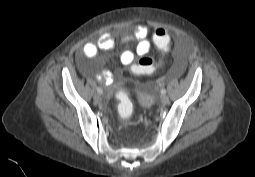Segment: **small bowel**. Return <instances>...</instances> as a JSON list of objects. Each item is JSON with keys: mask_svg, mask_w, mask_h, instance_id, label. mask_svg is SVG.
I'll return each mask as SVG.
<instances>
[{"mask_svg": "<svg viewBox=\"0 0 255 177\" xmlns=\"http://www.w3.org/2000/svg\"><path fill=\"white\" fill-rule=\"evenodd\" d=\"M136 43V53L140 56L146 55L151 49V41L149 39V29L145 25H138L130 34L122 35L119 38L114 37L109 32L101 34L95 42H87L83 46V54L86 58H94L99 50H111L120 44ZM124 65L130 64L134 60V53L124 51L119 57ZM82 71L86 72V67L80 63ZM97 81L110 85L113 82V74L107 69H103L95 74Z\"/></svg>", "mask_w": 255, "mask_h": 177, "instance_id": "obj_1", "label": "small bowel"}]
</instances>
